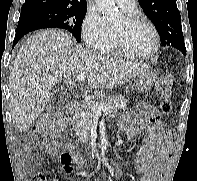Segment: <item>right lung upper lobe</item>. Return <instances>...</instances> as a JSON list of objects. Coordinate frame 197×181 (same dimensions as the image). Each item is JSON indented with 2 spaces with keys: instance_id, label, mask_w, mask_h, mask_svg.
I'll use <instances>...</instances> for the list:
<instances>
[{
  "instance_id": "obj_1",
  "label": "right lung upper lobe",
  "mask_w": 197,
  "mask_h": 181,
  "mask_svg": "<svg viewBox=\"0 0 197 181\" xmlns=\"http://www.w3.org/2000/svg\"><path fill=\"white\" fill-rule=\"evenodd\" d=\"M38 5L73 9L87 8L86 0H26L21 10Z\"/></svg>"
}]
</instances>
